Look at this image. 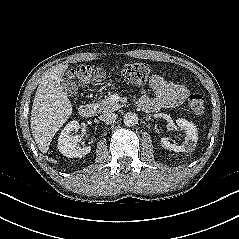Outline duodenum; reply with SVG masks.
I'll return each instance as SVG.
<instances>
[{
    "label": "duodenum",
    "mask_w": 239,
    "mask_h": 239,
    "mask_svg": "<svg viewBox=\"0 0 239 239\" xmlns=\"http://www.w3.org/2000/svg\"><path fill=\"white\" fill-rule=\"evenodd\" d=\"M94 113V106L92 104H83L79 107V114L83 118H89Z\"/></svg>",
    "instance_id": "obj_1"
}]
</instances>
